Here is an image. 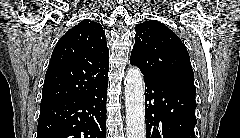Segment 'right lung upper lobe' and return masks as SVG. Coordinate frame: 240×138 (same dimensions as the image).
<instances>
[{
	"mask_svg": "<svg viewBox=\"0 0 240 138\" xmlns=\"http://www.w3.org/2000/svg\"><path fill=\"white\" fill-rule=\"evenodd\" d=\"M109 49L100 23L85 19L56 44L42 89L41 107L84 95L108 80Z\"/></svg>",
	"mask_w": 240,
	"mask_h": 138,
	"instance_id": "1",
	"label": "right lung upper lobe"
}]
</instances>
